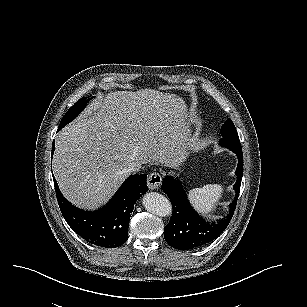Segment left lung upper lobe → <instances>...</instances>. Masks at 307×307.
I'll return each instance as SVG.
<instances>
[{
  "label": "left lung upper lobe",
  "instance_id": "1",
  "mask_svg": "<svg viewBox=\"0 0 307 307\" xmlns=\"http://www.w3.org/2000/svg\"><path fill=\"white\" fill-rule=\"evenodd\" d=\"M222 139L220 143L222 146L227 147L233 152L242 151L239 141L237 130L231 119H228L221 128Z\"/></svg>",
  "mask_w": 307,
  "mask_h": 307
}]
</instances>
